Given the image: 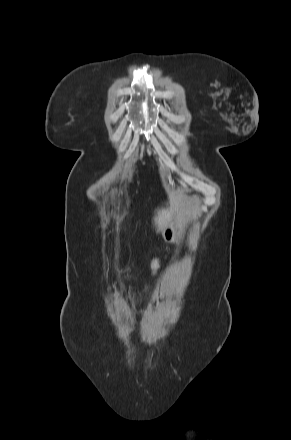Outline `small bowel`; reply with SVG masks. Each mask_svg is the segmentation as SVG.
Segmentation results:
<instances>
[{
    "mask_svg": "<svg viewBox=\"0 0 291 440\" xmlns=\"http://www.w3.org/2000/svg\"><path fill=\"white\" fill-rule=\"evenodd\" d=\"M158 266H159V260L158 259H154L152 261V269L156 270L158 268ZM143 292H146V290H144ZM150 299H151V297L149 296L148 300L150 301Z\"/></svg>",
    "mask_w": 291,
    "mask_h": 440,
    "instance_id": "obj_1",
    "label": "small bowel"
}]
</instances>
